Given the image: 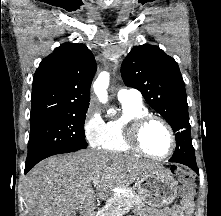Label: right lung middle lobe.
<instances>
[{
	"label": "right lung middle lobe",
	"instance_id": "1",
	"mask_svg": "<svg viewBox=\"0 0 221 216\" xmlns=\"http://www.w3.org/2000/svg\"><path fill=\"white\" fill-rule=\"evenodd\" d=\"M88 108H78L30 121L28 156L25 165L60 153L85 149L84 122Z\"/></svg>",
	"mask_w": 221,
	"mask_h": 216
}]
</instances>
